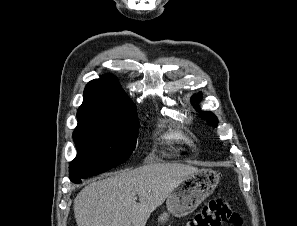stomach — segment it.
Wrapping results in <instances>:
<instances>
[{
  "label": "stomach",
  "instance_id": "obj_1",
  "mask_svg": "<svg viewBox=\"0 0 297 226\" xmlns=\"http://www.w3.org/2000/svg\"><path fill=\"white\" fill-rule=\"evenodd\" d=\"M219 175L210 169H200L181 180L167 198L168 213L159 217L161 223L168 221L169 215L184 217L192 213L200 203L216 188Z\"/></svg>",
  "mask_w": 297,
  "mask_h": 226
}]
</instances>
